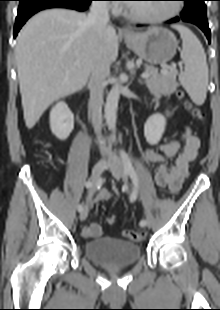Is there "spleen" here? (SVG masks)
I'll list each match as a JSON object with an SVG mask.
<instances>
[{"label": "spleen", "mask_w": 220, "mask_h": 310, "mask_svg": "<svg viewBox=\"0 0 220 310\" xmlns=\"http://www.w3.org/2000/svg\"><path fill=\"white\" fill-rule=\"evenodd\" d=\"M182 39L181 59L185 69L179 74V81L196 105L206 99L208 86V65L204 48L196 35L183 25H174Z\"/></svg>", "instance_id": "1"}]
</instances>
